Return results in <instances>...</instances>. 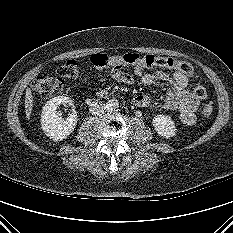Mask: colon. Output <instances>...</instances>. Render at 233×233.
I'll return each mask as SVG.
<instances>
[{
    "instance_id": "5ec220e1",
    "label": "colon",
    "mask_w": 233,
    "mask_h": 233,
    "mask_svg": "<svg viewBox=\"0 0 233 233\" xmlns=\"http://www.w3.org/2000/svg\"><path fill=\"white\" fill-rule=\"evenodd\" d=\"M91 64L95 68L108 67L111 64L121 65H142L147 68L163 67L177 70L187 76L194 75V69L191 64L176 60L171 57H159L152 54L141 55L139 53L130 52L121 55L110 56L105 53H97L91 56ZM78 64L75 60H68L57 70L56 74H48L35 78L32 83V89L41 97L48 98L58 93L64 86L65 79H74L78 75ZM193 94L203 99L206 96V89L204 86L198 84L193 89ZM213 106L205 104L202 109V114L205 118L212 115Z\"/></svg>"
}]
</instances>
